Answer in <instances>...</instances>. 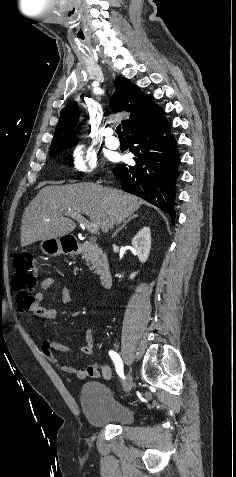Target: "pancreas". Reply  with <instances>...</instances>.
<instances>
[{
	"mask_svg": "<svg viewBox=\"0 0 236 477\" xmlns=\"http://www.w3.org/2000/svg\"><path fill=\"white\" fill-rule=\"evenodd\" d=\"M82 257L88 265H91V270L97 274L102 272V268L104 266L103 258H101L100 251L90 242H85L83 244Z\"/></svg>",
	"mask_w": 236,
	"mask_h": 477,
	"instance_id": "1",
	"label": "pancreas"
}]
</instances>
